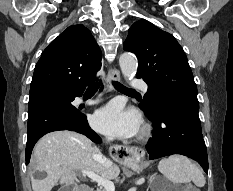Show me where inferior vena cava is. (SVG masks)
Here are the masks:
<instances>
[{
  "mask_svg": "<svg viewBox=\"0 0 233 191\" xmlns=\"http://www.w3.org/2000/svg\"><path fill=\"white\" fill-rule=\"evenodd\" d=\"M101 163L105 166V167H109L112 165V162L106 158L101 159Z\"/></svg>",
  "mask_w": 233,
  "mask_h": 191,
  "instance_id": "inferior-vena-cava-1",
  "label": "inferior vena cava"
}]
</instances>
